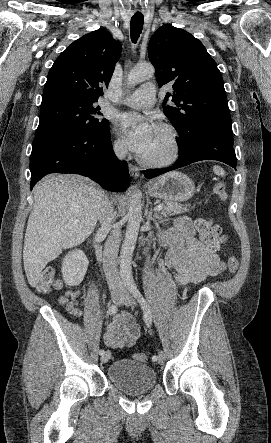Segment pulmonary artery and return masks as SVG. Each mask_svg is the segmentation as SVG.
I'll return each mask as SVG.
<instances>
[{
    "mask_svg": "<svg viewBox=\"0 0 271 443\" xmlns=\"http://www.w3.org/2000/svg\"><path fill=\"white\" fill-rule=\"evenodd\" d=\"M156 89L153 84L146 83L132 94L125 96L121 102L135 108H148L154 104Z\"/></svg>",
    "mask_w": 271,
    "mask_h": 443,
    "instance_id": "obj_1",
    "label": "pulmonary artery"
}]
</instances>
